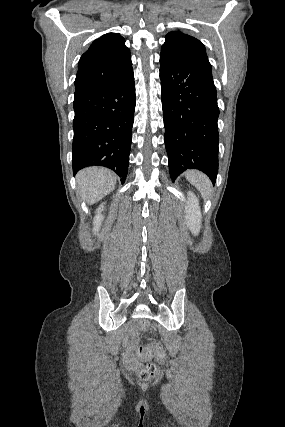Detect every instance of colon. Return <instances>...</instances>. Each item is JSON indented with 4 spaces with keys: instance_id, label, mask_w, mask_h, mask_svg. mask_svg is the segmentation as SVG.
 <instances>
[{
    "instance_id": "obj_1",
    "label": "colon",
    "mask_w": 285,
    "mask_h": 427,
    "mask_svg": "<svg viewBox=\"0 0 285 427\" xmlns=\"http://www.w3.org/2000/svg\"><path fill=\"white\" fill-rule=\"evenodd\" d=\"M137 325L141 330H146L150 324L139 320ZM131 351L135 352L142 359L136 363V370L139 377L146 381L152 379L156 373L155 365L150 363L149 360L154 358L158 361H163L166 356L165 350L159 342H153L144 347L132 349Z\"/></svg>"
}]
</instances>
